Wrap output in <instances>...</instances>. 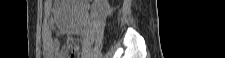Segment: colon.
Segmentation results:
<instances>
[{
  "label": "colon",
  "instance_id": "colon-1",
  "mask_svg": "<svg viewBox=\"0 0 225 58\" xmlns=\"http://www.w3.org/2000/svg\"><path fill=\"white\" fill-rule=\"evenodd\" d=\"M79 48L75 43L67 44L62 49L63 58H73L78 53Z\"/></svg>",
  "mask_w": 225,
  "mask_h": 58
}]
</instances>
